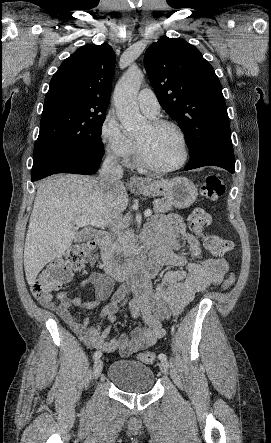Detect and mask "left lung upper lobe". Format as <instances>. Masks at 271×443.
<instances>
[{
  "label": "left lung upper lobe",
  "instance_id": "5c2ea615",
  "mask_svg": "<svg viewBox=\"0 0 271 443\" xmlns=\"http://www.w3.org/2000/svg\"><path fill=\"white\" fill-rule=\"evenodd\" d=\"M144 65L158 101L186 136L190 159L214 149L233 152L220 81L195 46L163 37L148 47Z\"/></svg>",
  "mask_w": 271,
  "mask_h": 443
}]
</instances>
